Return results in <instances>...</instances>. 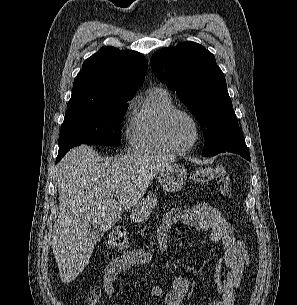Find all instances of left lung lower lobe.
<instances>
[{
  "instance_id": "0a47b994",
  "label": "left lung lower lobe",
  "mask_w": 297,
  "mask_h": 305,
  "mask_svg": "<svg viewBox=\"0 0 297 305\" xmlns=\"http://www.w3.org/2000/svg\"><path fill=\"white\" fill-rule=\"evenodd\" d=\"M236 154H239L242 157H244L245 159H247L248 161H250L249 151H246V152H236Z\"/></svg>"
}]
</instances>
